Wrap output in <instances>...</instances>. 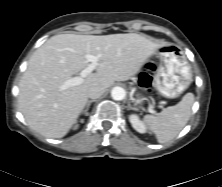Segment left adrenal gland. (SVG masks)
<instances>
[{
    "label": "left adrenal gland",
    "instance_id": "a2214340",
    "mask_svg": "<svg viewBox=\"0 0 222 187\" xmlns=\"http://www.w3.org/2000/svg\"><path fill=\"white\" fill-rule=\"evenodd\" d=\"M132 109H133V107L131 106L130 103H128V110H132Z\"/></svg>",
    "mask_w": 222,
    "mask_h": 187
}]
</instances>
